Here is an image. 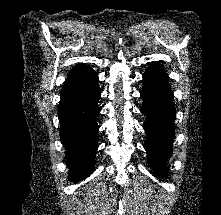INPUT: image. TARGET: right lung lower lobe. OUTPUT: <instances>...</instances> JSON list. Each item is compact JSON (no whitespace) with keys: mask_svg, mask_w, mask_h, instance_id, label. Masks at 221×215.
Returning a JSON list of instances; mask_svg holds the SVG:
<instances>
[{"mask_svg":"<svg viewBox=\"0 0 221 215\" xmlns=\"http://www.w3.org/2000/svg\"><path fill=\"white\" fill-rule=\"evenodd\" d=\"M98 76L88 69L67 78L58 109L60 138L66 149L69 179L78 182L93 170L97 150Z\"/></svg>","mask_w":221,"mask_h":215,"instance_id":"1","label":"right lung lower lobe"}]
</instances>
